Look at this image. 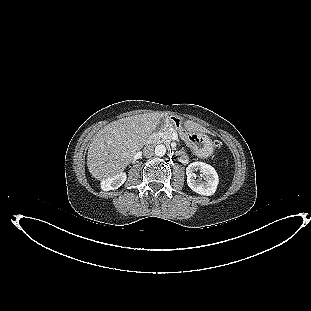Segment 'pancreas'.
<instances>
[{
  "instance_id": "1",
  "label": "pancreas",
  "mask_w": 311,
  "mask_h": 311,
  "mask_svg": "<svg viewBox=\"0 0 311 311\" xmlns=\"http://www.w3.org/2000/svg\"><path fill=\"white\" fill-rule=\"evenodd\" d=\"M176 131L173 128H165L155 133V138L159 142L170 143L171 136Z\"/></svg>"
}]
</instances>
